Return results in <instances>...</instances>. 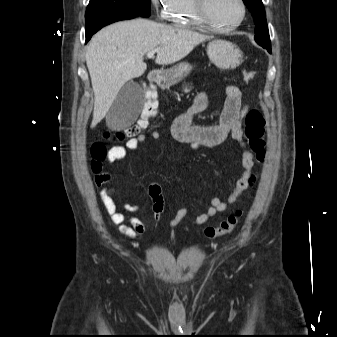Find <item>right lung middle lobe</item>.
Segmentation results:
<instances>
[{"label": "right lung middle lobe", "instance_id": "obj_1", "mask_svg": "<svg viewBox=\"0 0 337 337\" xmlns=\"http://www.w3.org/2000/svg\"><path fill=\"white\" fill-rule=\"evenodd\" d=\"M127 13L150 16V0H90L86 10V22L110 13Z\"/></svg>", "mask_w": 337, "mask_h": 337}]
</instances>
